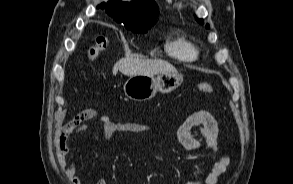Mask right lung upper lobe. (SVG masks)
<instances>
[{"label":"right lung upper lobe","instance_id":"1","mask_svg":"<svg viewBox=\"0 0 293 184\" xmlns=\"http://www.w3.org/2000/svg\"><path fill=\"white\" fill-rule=\"evenodd\" d=\"M100 8H106V12L118 23L126 25L142 24L153 25L156 21L159 9L153 0H133L122 2L120 0L102 3Z\"/></svg>","mask_w":293,"mask_h":184}]
</instances>
